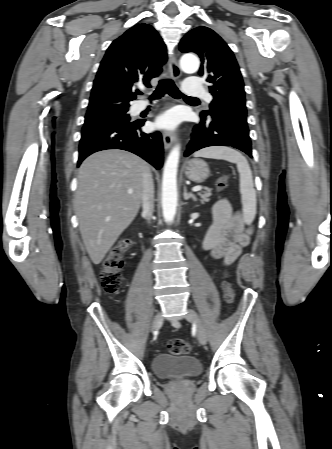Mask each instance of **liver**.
<instances>
[{"label":"liver","mask_w":332,"mask_h":449,"mask_svg":"<svg viewBox=\"0 0 332 449\" xmlns=\"http://www.w3.org/2000/svg\"><path fill=\"white\" fill-rule=\"evenodd\" d=\"M148 168L140 157L118 149L94 153L81 164L75 210L94 264L103 260L136 217L142 201V176Z\"/></svg>","instance_id":"6515ba94"}]
</instances>
